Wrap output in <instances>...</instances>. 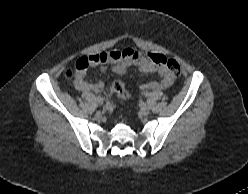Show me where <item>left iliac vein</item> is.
<instances>
[{
  "instance_id": "left-iliac-vein-1",
  "label": "left iliac vein",
  "mask_w": 248,
  "mask_h": 194,
  "mask_svg": "<svg viewBox=\"0 0 248 194\" xmlns=\"http://www.w3.org/2000/svg\"><path fill=\"white\" fill-rule=\"evenodd\" d=\"M141 111L144 113V114H147L149 111H150V106L147 104V103H144L141 107Z\"/></svg>"
}]
</instances>
